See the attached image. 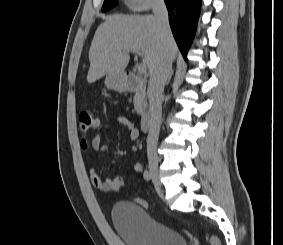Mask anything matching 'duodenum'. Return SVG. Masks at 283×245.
<instances>
[{"label":"duodenum","instance_id":"obj_1","mask_svg":"<svg viewBox=\"0 0 283 245\" xmlns=\"http://www.w3.org/2000/svg\"><path fill=\"white\" fill-rule=\"evenodd\" d=\"M121 88L124 91L135 92L141 99L140 127L143 131H147L150 127L151 117L148 104L146 102V84L144 80L137 74L127 72L122 80Z\"/></svg>","mask_w":283,"mask_h":245}]
</instances>
